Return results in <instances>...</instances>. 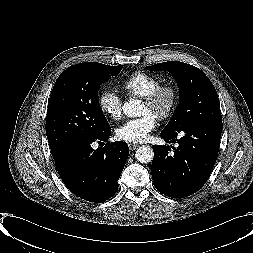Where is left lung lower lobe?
Masks as SVG:
<instances>
[{
	"label": "left lung lower lobe",
	"mask_w": 253,
	"mask_h": 253,
	"mask_svg": "<svg viewBox=\"0 0 253 253\" xmlns=\"http://www.w3.org/2000/svg\"><path fill=\"white\" fill-rule=\"evenodd\" d=\"M222 123H191L174 134L161 133L170 147L153 145L151 174L155 188L166 196L184 198L206 183L215 165L220 146Z\"/></svg>",
	"instance_id": "0a47b994"
}]
</instances>
